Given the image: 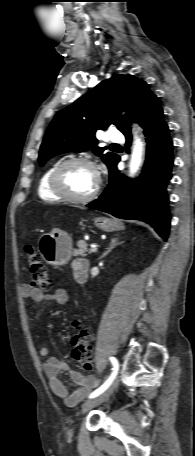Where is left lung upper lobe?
Returning <instances> with one entry per match:
<instances>
[{"label": "left lung upper lobe", "mask_w": 195, "mask_h": 456, "mask_svg": "<svg viewBox=\"0 0 195 456\" xmlns=\"http://www.w3.org/2000/svg\"><path fill=\"white\" fill-rule=\"evenodd\" d=\"M148 84L132 75H114L104 80L70 106L56 114L39 152L41 166L53 156L66 152L92 150L101 156L110 169L118 158L115 153L103 154L106 148L97 146V129L105 130L114 124L122 132L130 129V119L154 97ZM127 111L120 116L114 109ZM108 110H112L108 112Z\"/></svg>", "instance_id": "left-lung-upper-lobe-1"}]
</instances>
